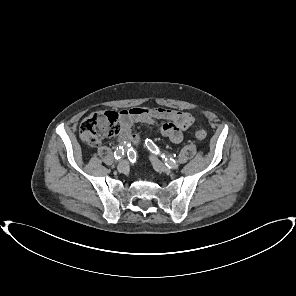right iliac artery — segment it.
<instances>
[{"instance_id": "1", "label": "right iliac artery", "mask_w": 296, "mask_h": 296, "mask_svg": "<svg viewBox=\"0 0 296 296\" xmlns=\"http://www.w3.org/2000/svg\"><path fill=\"white\" fill-rule=\"evenodd\" d=\"M123 154H124V148H123V146L117 147V149L115 150V153H114L115 158L118 160V159H120L123 156Z\"/></svg>"}]
</instances>
